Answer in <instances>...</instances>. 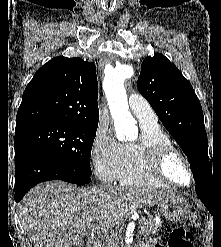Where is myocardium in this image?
Instances as JSON below:
<instances>
[{"instance_id": "obj_1", "label": "myocardium", "mask_w": 221, "mask_h": 247, "mask_svg": "<svg viewBox=\"0 0 221 247\" xmlns=\"http://www.w3.org/2000/svg\"><path fill=\"white\" fill-rule=\"evenodd\" d=\"M134 145L142 149L150 173L159 181L178 188L189 187L193 183L194 174L188 158L172 143L156 142L147 145L143 136H141ZM173 156H177L183 161L189 175L188 183H178L167 175L165 164Z\"/></svg>"}]
</instances>
